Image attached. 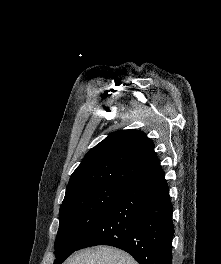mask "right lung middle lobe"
<instances>
[{
	"mask_svg": "<svg viewBox=\"0 0 221 264\" xmlns=\"http://www.w3.org/2000/svg\"><path fill=\"white\" fill-rule=\"evenodd\" d=\"M126 185L105 184L64 198L56 236V260L61 264L84 242L110 211Z\"/></svg>",
	"mask_w": 221,
	"mask_h": 264,
	"instance_id": "dd1d6c3e",
	"label": "right lung middle lobe"
}]
</instances>
